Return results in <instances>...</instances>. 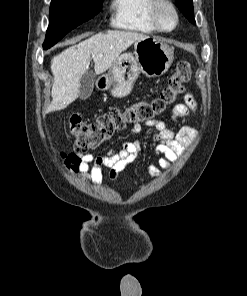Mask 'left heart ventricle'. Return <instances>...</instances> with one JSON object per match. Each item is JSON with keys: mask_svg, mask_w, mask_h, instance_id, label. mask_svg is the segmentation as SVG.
<instances>
[{"mask_svg": "<svg viewBox=\"0 0 247 296\" xmlns=\"http://www.w3.org/2000/svg\"><path fill=\"white\" fill-rule=\"evenodd\" d=\"M161 20L164 27H171L173 25V16L168 9L162 10Z\"/></svg>", "mask_w": 247, "mask_h": 296, "instance_id": "1", "label": "left heart ventricle"}]
</instances>
